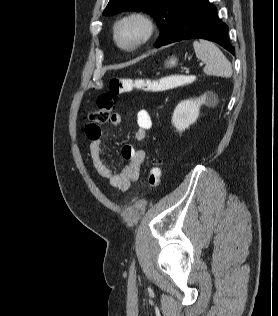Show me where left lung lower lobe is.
<instances>
[{
  "label": "left lung lower lobe",
  "mask_w": 278,
  "mask_h": 316,
  "mask_svg": "<svg viewBox=\"0 0 278 316\" xmlns=\"http://www.w3.org/2000/svg\"><path fill=\"white\" fill-rule=\"evenodd\" d=\"M188 39L214 41L235 54L228 40V26L219 20L216 7L208 0H189L173 33L163 45Z\"/></svg>",
  "instance_id": "left-lung-lower-lobe-1"
}]
</instances>
